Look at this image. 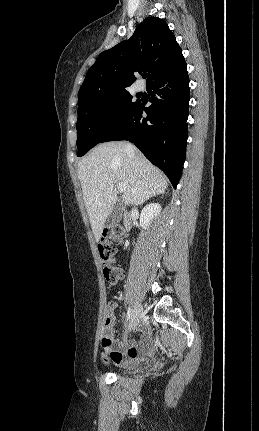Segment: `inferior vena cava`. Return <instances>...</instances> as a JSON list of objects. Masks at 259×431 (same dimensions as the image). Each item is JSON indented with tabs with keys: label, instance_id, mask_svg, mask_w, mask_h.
I'll list each match as a JSON object with an SVG mask.
<instances>
[{
	"label": "inferior vena cava",
	"instance_id": "602c4592",
	"mask_svg": "<svg viewBox=\"0 0 259 431\" xmlns=\"http://www.w3.org/2000/svg\"><path fill=\"white\" fill-rule=\"evenodd\" d=\"M126 150H127L128 152H133V146H132L131 144H127V145H126Z\"/></svg>",
	"mask_w": 259,
	"mask_h": 431
}]
</instances>
